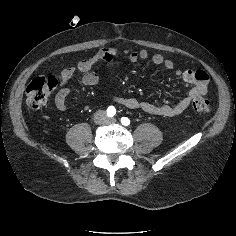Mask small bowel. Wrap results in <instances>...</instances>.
I'll list each match as a JSON object with an SVG mask.
<instances>
[{
    "label": "small bowel",
    "mask_w": 236,
    "mask_h": 236,
    "mask_svg": "<svg viewBox=\"0 0 236 236\" xmlns=\"http://www.w3.org/2000/svg\"><path fill=\"white\" fill-rule=\"evenodd\" d=\"M119 54L124 55L132 62L139 60L147 61L151 59L152 63L156 66L163 67L167 70L174 69L173 61L166 59L162 54H154L150 57L146 49L139 51L133 49L118 48H103L100 49L93 56L81 60L74 67L65 68L60 74V89L55 95L54 103L58 110H66V101L71 93V89L67 87V82L76 72H82L83 76L81 82L85 86H95L99 83V76L92 72V67L100 61H112L114 57ZM175 75L180 78L184 83L191 86L188 93L177 100L165 99L162 105H154L147 101H141L135 98H126L119 95L113 96V101L121 104L129 109H138L145 113L163 116L174 117L183 113L190 105V103L197 97L203 96L207 93V86L209 83V76L202 70H176Z\"/></svg>",
    "instance_id": "obj_1"
}]
</instances>
